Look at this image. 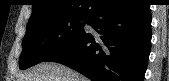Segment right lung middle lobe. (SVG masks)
I'll return each mask as SVG.
<instances>
[{"instance_id": "obj_1", "label": "right lung middle lobe", "mask_w": 169, "mask_h": 81, "mask_svg": "<svg viewBox=\"0 0 169 81\" xmlns=\"http://www.w3.org/2000/svg\"><path fill=\"white\" fill-rule=\"evenodd\" d=\"M87 16H57L27 24L19 59L24 70L43 62L71 42L84 28Z\"/></svg>"}]
</instances>
